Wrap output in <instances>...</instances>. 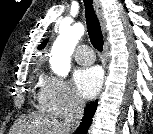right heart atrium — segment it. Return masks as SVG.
<instances>
[{"label": "right heart atrium", "instance_id": "1", "mask_svg": "<svg viewBox=\"0 0 153 134\" xmlns=\"http://www.w3.org/2000/svg\"><path fill=\"white\" fill-rule=\"evenodd\" d=\"M39 105L55 117L65 118L78 113L83 107V100L67 81L47 75L41 84Z\"/></svg>", "mask_w": 153, "mask_h": 134}]
</instances>
